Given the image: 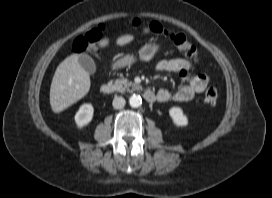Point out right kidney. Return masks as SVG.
Returning <instances> with one entry per match:
<instances>
[{
	"instance_id": "right-kidney-1",
	"label": "right kidney",
	"mask_w": 272,
	"mask_h": 198,
	"mask_svg": "<svg viewBox=\"0 0 272 198\" xmlns=\"http://www.w3.org/2000/svg\"><path fill=\"white\" fill-rule=\"evenodd\" d=\"M94 114V108L91 104H83L75 115V122L78 128L88 125Z\"/></svg>"
}]
</instances>
